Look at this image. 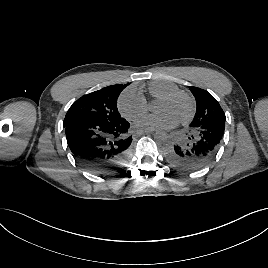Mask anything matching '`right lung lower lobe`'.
Listing matches in <instances>:
<instances>
[{"instance_id":"1","label":"right lung lower lobe","mask_w":268,"mask_h":268,"mask_svg":"<svg viewBox=\"0 0 268 268\" xmlns=\"http://www.w3.org/2000/svg\"><path fill=\"white\" fill-rule=\"evenodd\" d=\"M64 127L73 157L93 174L117 171L128 156L132 137L124 118L111 123L76 119Z\"/></svg>"}]
</instances>
